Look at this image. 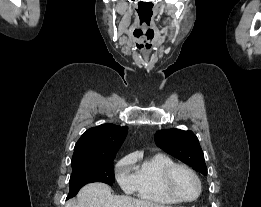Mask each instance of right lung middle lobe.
<instances>
[{
  "label": "right lung middle lobe",
  "instance_id": "dd1d6c3e",
  "mask_svg": "<svg viewBox=\"0 0 261 207\" xmlns=\"http://www.w3.org/2000/svg\"><path fill=\"white\" fill-rule=\"evenodd\" d=\"M82 162L72 165L69 181L70 191L67 199L74 197L88 183L103 182L112 185L115 182L113 160Z\"/></svg>",
  "mask_w": 261,
  "mask_h": 207
}]
</instances>
